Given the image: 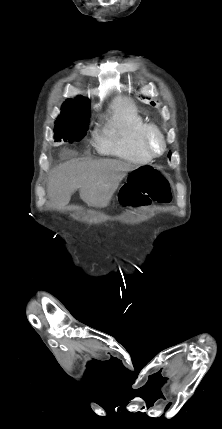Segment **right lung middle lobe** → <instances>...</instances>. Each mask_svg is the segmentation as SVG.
<instances>
[{
  "label": "right lung middle lobe",
  "instance_id": "right-lung-middle-lobe-1",
  "mask_svg": "<svg viewBox=\"0 0 222 429\" xmlns=\"http://www.w3.org/2000/svg\"><path fill=\"white\" fill-rule=\"evenodd\" d=\"M89 106V102L80 97L67 99L63 103L60 116L55 121V141L64 140L73 143L80 141L86 135Z\"/></svg>",
  "mask_w": 222,
  "mask_h": 429
}]
</instances>
